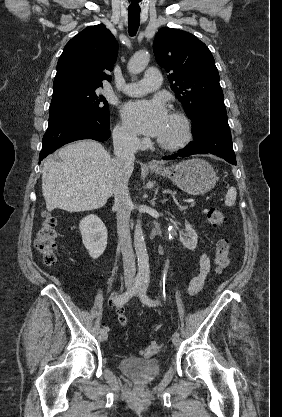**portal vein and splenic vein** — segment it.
Wrapping results in <instances>:
<instances>
[{
	"label": "portal vein and splenic vein",
	"mask_w": 282,
	"mask_h": 417,
	"mask_svg": "<svg viewBox=\"0 0 282 417\" xmlns=\"http://www.w3.org/2000/svg\"><path fill=\"white\" fill-rule=\"evenodd\" d=\"M174 202H184V203H191V202H194V199H191V198H184V199H174Z\"/></svg>",
	"instance_id": "18ae733b"
}]
</instances>
